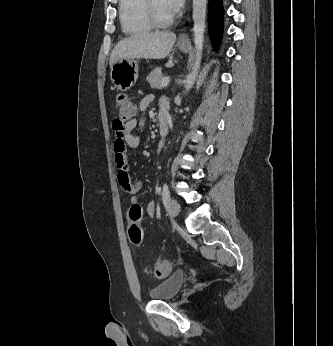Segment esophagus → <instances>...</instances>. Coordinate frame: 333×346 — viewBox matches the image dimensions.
Returning <instances> with one entry per match:
<instances>
[{"label":"esophagus","mask_w":333,"mask_h":346,"mask_svg":"<svg viewBox=\"0 0 333 346\" xmlns=\"http://www.w3.org/2000/svg\"><path fill=\"white\" fill-rule=\"evenodd\" d=\"M178 40L180 42H188L189 41V38H188V34L186 32H183L179 35V38Z\"/></svg>","instance_id":"1"}]
</instances>
